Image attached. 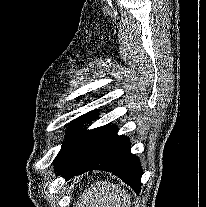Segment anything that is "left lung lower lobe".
Segmentation results:
<instances>
[{"mask_svg":"<svg viewBox=\"0 0 206 207\" xmlns=\"http://www.w3.org/2000/svg\"><path fill=\"white\" fill-rule=\"evenodd\" d=\"M130 150L129 138L118 136L115 126L95 128L73 156L56 165L57 173L68 179L93 169L112 172L139 194L142 169Z\"/></svg>","mask_w":206,"mask_h":207,"instance_id":"left-lung-lower-lobe-1","label":"left lung lower lobe"}]
</instances>
